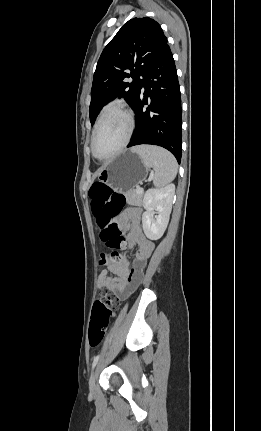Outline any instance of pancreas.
<instances>
[{
	"label": "pancreas",
	"mask_w": 261,
	"mask_h": 431,
	"mask_svg": "<svg viewBox=\"0 0 261 431\" xmlns=\"http://www.w3.org/2000/svg\"><path fill=\"white\" fill-rule=\"evenodd\" d=\"M126 200L129 205L132 206H141L143 205V192L138 193L137 189L127 191Z\"/></svg>",
	"instance_id": "cf45deb5"
}]
</instances>
